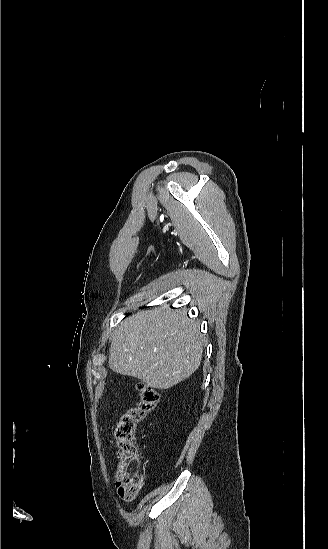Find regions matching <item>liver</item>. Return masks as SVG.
Returning a JSON list of instances; mask_svg holds the SVG:
<instances>
[{
	"instance_id": "6515ba94",
	"label": "liver",
	"mask_w": 328,
	"mask_h": 549,
	"mask_svg": "<svg viewBox=\"0 0 328 549\" xmlns=\"http://www.w3.org/2000/svg\"><path fill=\"white\" fill-rule=\"evenodd\" d=\"M200 325L184 309L163 305L120 323L112 337L109 367L147 387L170 389L193 375L202 361Z\"/></svg>"
}]
</instances>
